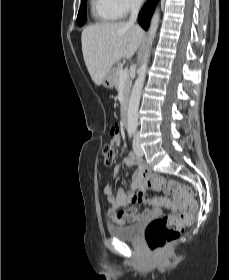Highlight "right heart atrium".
<instances>
[{
  "label": "right heart atrium",
  "instance_id": "right-heart-atrium-1",
  "mask_svg": "<svg viewBox=\"0 0 229 280\" xmlns=\"http://www.w3.org/2000/svg\"><path fill=\"white\" fill-rule=\"evenodd\" d=\"M108 2L119 18H124L139 7L141 0H108Z\"/></svg>",
  "mask_w": 229,
  "mask_h": 280
}]
</instances>
